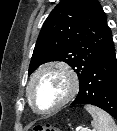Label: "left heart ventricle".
I'll return each instance as SVG.
<instances>
[{"instance_id": "left-heart-ventricle-1", "label": "left heart ventricle", "mask_w": 117, "mask_h": 131, "mask_svg": "<svg viewBox=\"0 0 117 131\" xmlns=\"http://www.w3.org/2000/svg\"><path fill=\"white\" fill-rule=\"evenodd\" d=\"M68 78L60 70L43 72L34 82L33 95L39 109L48 110L58 104L67 94Z\"/></svg>"}]
</instances>
